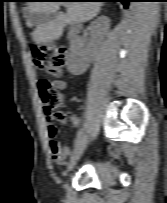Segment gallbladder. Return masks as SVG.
Segmentation results:
<instances>
[{
    "label": "gallbladder",
    "mask_w": 167,
    "mask_h": 203,
    "mask_svg": "<svg viewBox=\"0 0 167 203\" xmlns=\"http://www.w3.org/2000/svg\"><path fill=\"white\" fill-rule=\"evenodd\" d=\"M59 14H60L59 11H55L52 13L28 12L26 18L30 25L38 27L54 20L56 16Z\"/></svg>",
    "instance_id": "1"
}]
</instances>
